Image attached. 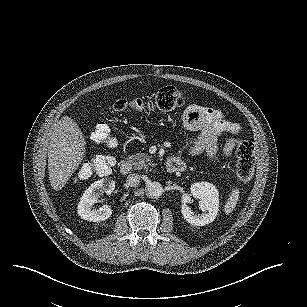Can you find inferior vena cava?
<instances>
[{
  "label": "inferior vena cava",
  "mask_w": 307,
  "mask_h": 307,
  "mask_svg": "<svg viewBox=\"0 0 307 307\" xmlns=\"http://www.w3.org/2000/svg\"><path fill=\"white\" fill-rule=\"evenodd\" d=\"M140 181H141L140 175L134 173L128 175L126 182L130 187H137L140 184Z\"/></svg>",
  "instance_id": "obj_1"
}]
</instances>
